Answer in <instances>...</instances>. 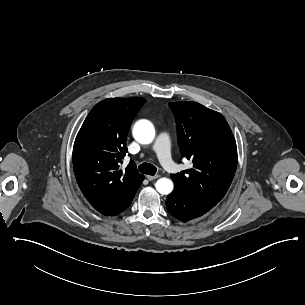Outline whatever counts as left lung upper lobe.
Wrapping results in <instances>:
<instances>
[{
	"instance_id": "1",
	"label": "left lung upper lobe",
	"mask_w": 305,
	"mask_h": 305,
	"mask_svg": "<svg viewBox=\"0 0 305 305\" xmlns=\"http://www.w3.org/2000/svg\"><path fill=\"white\" fill-rule=\"evenodd\" d=\"M182 157L193 168L171 174L175 189L204 201L219 202L237 167V146L222 114L196 102H172Z\"/></svg>"
}]
</instances>
